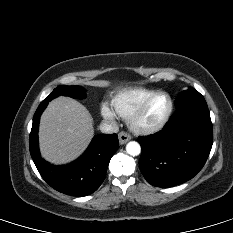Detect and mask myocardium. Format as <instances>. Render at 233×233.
<instances>
[{"label": "myocardium", "instance_id": "obj_1", "mask_svg": "<svg viewBox=\"0 0 233 233\" xmlns=\"http://www.w3.org/2000/svg\"><path fill=\"white\" fill-rule=\"evenodd\" d=\"M160 95L166 96L168 98V101H169V107H168L166 114L157 124L152 125V126H148V127L142 126L139 123L140 117L142 116V114L146 110L147 106L151 103V101ZM173 109H174V103H173V99L171 98V96L167 92L156 91L155 93L151 94L146 99H144L138 105V107L127 118V122H128L130 129L134 133H137L140 135H151V134L159 132L160 130H162L164 128V126L168 123V121L173 113Z\"/></svg>", "mask_w": 233, "mask_h": 233}]
</instances>
